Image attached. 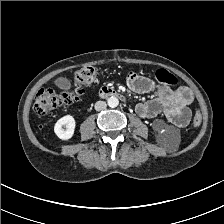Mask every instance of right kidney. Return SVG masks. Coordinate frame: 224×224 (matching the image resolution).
<instances>
[{"mask_svg": "<svg viewBox=\"0 0 224 224\" xmlns=\"http://www.w3.org/2000/svg\"><path fill=\"white\" fill-rule=\"evenodd\" d=\"M75 126L76 122L73 116L66 115L56 122L54 132L61 140H69L74 135Z\"/></svg>", "mask_w": 224, "mask_h": 224, "instance_id": "1", "label": "right kidney"}]
</instances>
